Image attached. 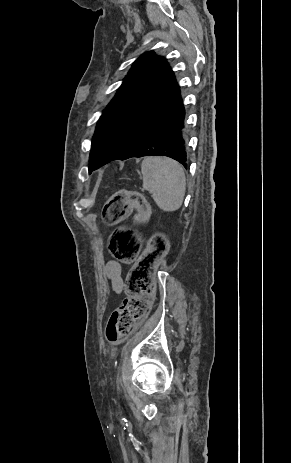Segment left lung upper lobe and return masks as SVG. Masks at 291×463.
<instances>
[{
    "label": "left lung upper lobe",
    "instance_id": "5c2ea615",
    "mask_svg": "<svg viewBox=\"0 0 291 463\" xmlns=\"http://www.w3.org/2000/svg\"><path fill=\"white\" fill-rule=\"evenodd\" d=\"M180 97L165 58L153 52L142 54L98 121L89 170L97 162L121 157L137 146L173 110Z\"/></svg>",
    "mask_w": 291,
    "mask_h": 463
}]
</instances>
